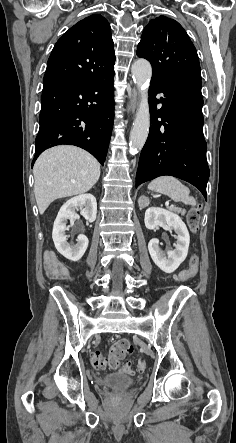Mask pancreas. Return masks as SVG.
Masks as SVG:
<instances>
[{
    "mask_svg": "<svg viewBox=\"0 0 236 443\" xmlns=\"http://www.w3.org/2000/svg\"><path fill=\"white\" fill-rule=\"evenodd\" d=\"M170 210H172V211H174V212H176L178 214H181V215H185V213H186L185 209L178 208V207L170 208Z\"/></svg>",
    "mask_w": 236,
    "mask_h": 443,
    "instance_id": "1",
    "label": "pancreas"
}]
</instances>
